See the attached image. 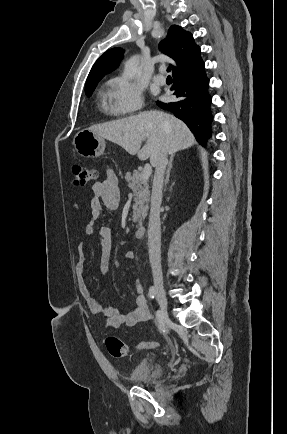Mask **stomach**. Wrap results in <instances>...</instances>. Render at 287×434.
I'll return each instance as SVG.
<instances>
[{
  "label": "stomach",
  "instance_id": "0dacf381",
  "mask_svg": "<svg viewBox=\"0 0 287 434\" xmlns=\"http://www.w3.org/2000/svg\"><path fill=\"white\" fill-rule=\"evenodd\" d=\"M73 145L79 155L86 158H96L105 150V140L89 129L77 132L73 139Z\"/></svg>",
  "mask_w": 287,
  "mask_h": 434
}]
</instances>
